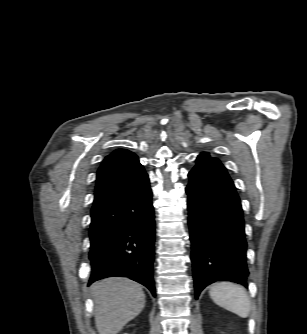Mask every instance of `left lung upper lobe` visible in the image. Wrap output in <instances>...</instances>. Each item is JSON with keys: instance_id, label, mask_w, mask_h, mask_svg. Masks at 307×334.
<instances>
[{"instance_id": "5c2ea615", "label": "left lung upper lobe", "mask_w": 307, "mask_h": 334, "mask_svg": "<svg viewBox=\"0 0 307 334\" xmlns=\"http://www.w3.org/2000/svg\"><path fill=\"white\" fill-rule=\"evenodd\" d=\"M197 159H208V160H211V161L219 162V163H220V161H219L218 159H215V158L210 157V156H209V153H206V152L201 153V154L198 156Z\"/></svg>"}]
</instances>
